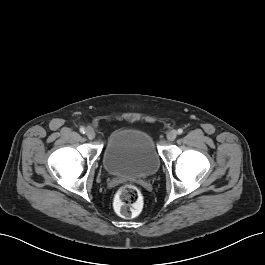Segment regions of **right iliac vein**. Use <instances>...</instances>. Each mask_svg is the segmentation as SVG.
<instances>
[{
    "label": "right iliac vein",
    "mask_w": 265,
    "mask_h": 265,
    "mask_svg": "<svg viewBox=\"0 0 265 265\" xmlns=\"http://www.w3.org/2000/svg\"><path fill=\"white\" fill-rule=\"evenodd\" d=\"M86 135H87V137H88L89 139H94V138H95V131H94V129L91 128V127H88V128L86 129Z\"/></svg>",
    "instance_id": "obj_1"
}]
</instances>
